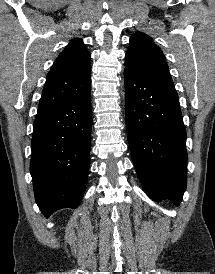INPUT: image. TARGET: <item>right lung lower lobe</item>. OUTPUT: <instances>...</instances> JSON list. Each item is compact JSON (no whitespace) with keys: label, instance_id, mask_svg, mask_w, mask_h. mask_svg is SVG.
Segmentation results:
<instances>
[{"label":"right lung lower lobe","instance_id":"98d812e1","mask_svg":"<svg viewBox=\"0 0 215 274\" xmlns=\"http://www.w3.org/2000/svg\"><path fill=\"white\" fill-rule=\"evenodd\" d=\"M90 85L38 110L35 117L30 172L36 203L45 217L59 209L77 208L83 197L91 148Z\"/></svg>","mask_w":215,"mask_h":274}]
</instances>
